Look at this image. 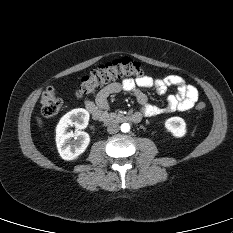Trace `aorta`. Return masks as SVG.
Masks as SVG:
<instances>
[{
  "mask_svg": "<svg viewBox=\"0 0 233 233\" xmlns=\"http://www.w3.org/2000/svg\"><path fill=\"white\" fill-rule=\"evenodd\" d=\"M120 128H121V131L124 133H127L130 131V125L128 123L121 124Z\"/></svg>",
  "mask_w": 233,
  "mask_h": 233,
  "instance_id": "762f6f07",
  "label": "aorta"
}]
</instances>
